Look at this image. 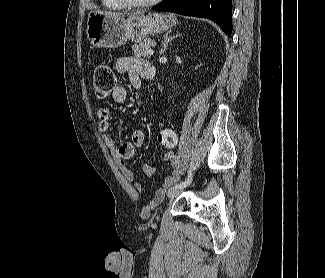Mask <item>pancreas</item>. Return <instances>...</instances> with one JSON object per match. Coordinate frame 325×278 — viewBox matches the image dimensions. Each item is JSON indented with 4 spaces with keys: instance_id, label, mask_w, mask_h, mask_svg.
I'll return each mask as SVG.
<instances>
[{
    "instance_id": "cf45deb5",
    "label": "pancreas",
    "mask_w": 325,
    "mask_h": 278,
    "mask_svg": "<svg viewBox=\"0 0 325 278\" xmlns=\"http://www.w3.org/2000/svg\"><path fill=\"white\" fill-rule=\"evenodd\" d=\"M153 41L149 38L144 39L139 44L132 45V49L134 50V55L136 57H148V50L152 47Z\"/></svg>"
}]
</instances>
